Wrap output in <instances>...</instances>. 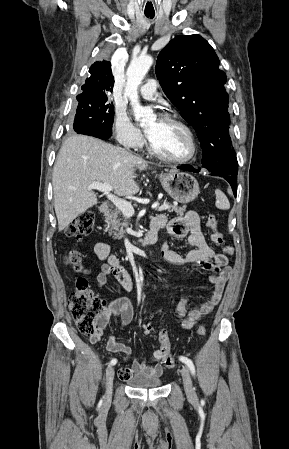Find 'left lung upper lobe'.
I'll use <instances>...</instances> for the list:
<instances>
[{
    "mask_svg": "<svg viewBox=\"0 0 289 449\" xmlns=\"http://www.w3.org/2000/svg\"><path fill=\"white\" fill-rule=\"evenodd\" d=\"M156 75L181 116L196 130L202 164L219 176L237 175V159L229 136L226 74L211 45L194 34L178 36L160 52Z\"/></svg>",
    "mask_w": 289,
    "mask_h": 449,
    "instance_id": "1",
    "label": "left lung upper lobe"
}]
</instances>
